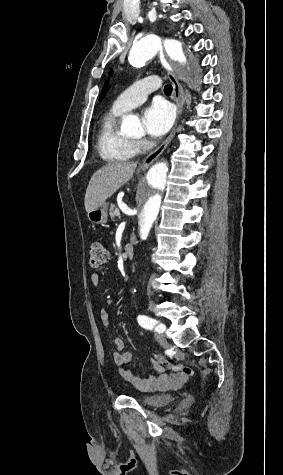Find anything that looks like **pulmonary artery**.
Masks as SVG:
<instances>
[{
	"instance_id": "pulmonary-artery-1",
	"label": "pulmonary artery",
	"mask_w": 283,
	"mask_h": 475,
	"mask_svg": "<svg viewBox=\"0 0 283 475\" xmlns=\"http://www.w3.org/2000/svg\"><path fill=\"white\" fill-rule=\"evenodd\" d=\"M162 86L161 80H136L116 98L113 106L119 110H129L142 103L146 96L151 94V91L161 89Z\"/></svg>"
}]
</instances>
